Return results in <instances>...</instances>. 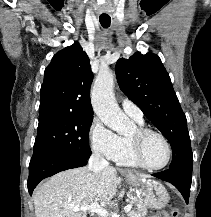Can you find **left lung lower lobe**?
<instances>
[{
    "mask_svg": "<svg viewBox=\"0 0 211 217\" xmlns=\"http://www.w3.org/2000/svg\"><path fill=\"white\" fill-rule=\"evenodd\" d=\"M153 176L173 184L188 204L192 180V170L187 168H169Z\"/></svg>",
    "mask_w": 211,
    "mask_h": 217,
    "instance_id": "obj_1",
    "label": "left lung lower lobe"
}]
</instances>
